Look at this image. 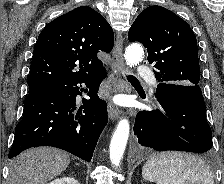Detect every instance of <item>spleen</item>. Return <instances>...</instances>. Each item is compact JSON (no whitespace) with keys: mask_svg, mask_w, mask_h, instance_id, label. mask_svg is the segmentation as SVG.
<instances>
[{"mask_svg":"<svg viewBox=\"0 0 224 184\" xmlns=\"http://www.w3.org/2000/svg\"><path fill=\"white\" fill-rule=\"evenodd\" d=\"M143 178L156 184H214L212 171L195 155L163 152L143 166Z\"/></svg>","mask_w":224,"mask_h":184,"instance_id":"3e777b00","label":"spleen"}]
</instances>
